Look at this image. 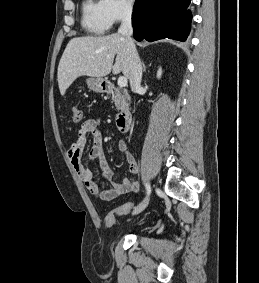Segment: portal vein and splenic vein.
Segmentation results:
<instances>
[{
    "instance_id": "1",
    "label": "portal vein and splenic vein",
    "mask_w": 259,
    "mask_h": 283,
    "mask_svg": "<svg viewBox=\"0 0 259 283\" xmlns=\"http://www.w3.org/2000/svg\"><path fill=\"white\" fill-rule=\"evenodd\" d=\"M118 86L123 88L127 86V79L126 77H119L118 78Z\"/></svg>"
}]
</instances>
